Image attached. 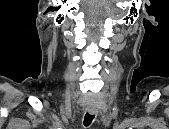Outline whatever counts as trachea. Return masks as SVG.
I'll return each mask as SVG.
<instances>
[{"mask_svg":"<svg viewBox=\"0 0 169 129\" xmlns=\"http://www.w3.org/2000/svg\"><path fill=\"white\" fill-rule=\"evenodd\" d=\"M93 119H94V115L87 112L84 116V125L86 127L89 126L92 123Z\"/></svg>","mask_w":169,"mask_h":129,"instance_id":"3493384b","label":"trachea"}]
</instances>
